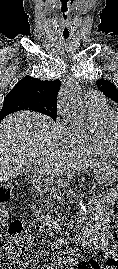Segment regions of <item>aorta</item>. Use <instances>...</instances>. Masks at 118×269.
<instances>
[{"label": "aorta", "instance_id": "aorta-1", "mask_svg": "<svg viewBox=\"0 0 118 269\" xmlns=\"http://www.w3.org/2000/svg\"><path fill=\"white\" fill-rule=\"evenodd\" d=\"M60 104L62 109L70 114L81 127L85 129L94 127L95 124L84 107L80 86L76 80L71 78L64 83L60 92Z\"/></svg>", "mask_w": 118, "mask_h": 269}]
</instances>
